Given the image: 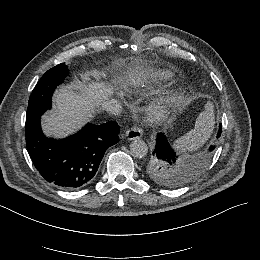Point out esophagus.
Returning a JSON list of instances; mask_svg holds the SVG:
<instances>
[{"instance_id":"obj_1","label":"esophagus","mask_w":260,"mask_h":260,"mask_svg":"<svg viewBox=\"0 0 260 260\" xmlns=\"http://www.w3.org/2000/svg\"><path fill=\"white\" fill-rule=\"evenodd\" d=\"M143 135V130L140 127H132L126 132V137L128 140L140 139Z\"/></svg>"}]
</instances>
